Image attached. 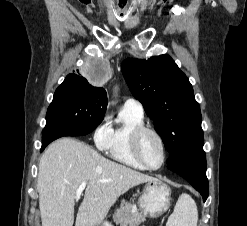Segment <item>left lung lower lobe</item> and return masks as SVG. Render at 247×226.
I'll list each match as a JSON object with an SVG mask.
<instances>
[{
    "mask_svg": "<svg viewBox=\"0 0 247 226\" xmlns=\"http://www.w3.org/2000/svg\"><path fill=\"white\" fill-rule=\"evenodd\" d=\"M168 169L185 178L202 195L205 202L209 186L206 177V158L203 145L171 156L167 161Z\"/></svg>",
    "mask_w": 247,
    "mask_h": 226,
    "instance_id": "obj_1",
    "label": "left lung lower lobe"
}]
</instances>
